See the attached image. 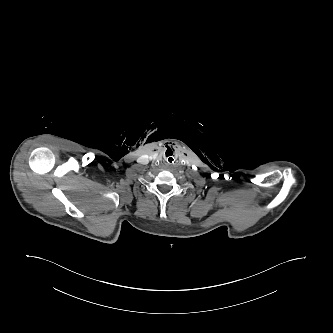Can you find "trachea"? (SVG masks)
Returning a JSON list of instances; mask_svg holds the SVG:
<instances>
[{
	"label": "trachea",
	"mask_w": 333,
	"mask_h": 333,
	"mask_svg": "<svg viewBox=\"0 0 333 333\" xmlns=\"http://www.w3.org/2000/svg\"><path fill=\"white\" fill-rule=\"evenodd\" d=\"M165 161L169 165H174L178 161V155L174 151H169L165 155Z\"/></svg>",
	"instance_id": "1"
}]
</instances>
